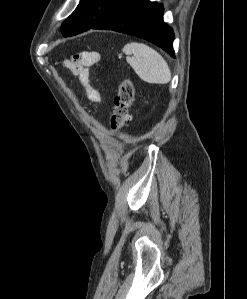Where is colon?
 Returning <instances> with one entry per match:
<instances>
[{"label": "colon", "mask_w": 247, "mask_h": 299, "mask_svg": "<svg viewBox=\"0 0 247 299\" xmlns=\"http://www.w3.org/2000/svg\"><path fill=\"white\" fill-rule=\"evenodd\" d=\"M133 102V83L129 79H124L119 85L114 99L113 113L110 118V128L113 132H119L128 125Z\"/></svg>", "instance_id": "5ec220e1"}]
</instances>
